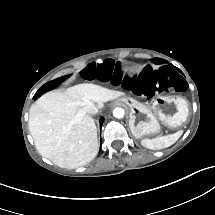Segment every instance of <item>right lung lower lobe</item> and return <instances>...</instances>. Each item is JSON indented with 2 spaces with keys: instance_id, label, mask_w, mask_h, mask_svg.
Returning <instances> with one entry per match:
<instances>
[{
  "instance_id": "1",
  "label": "right lung lower lobe",
  "mask_w": 215,
  "mask_h": 215,
  "mask_svg": "<svg viewBox=\"0 0 215 215\" xmlns=\"http://www.w3.org/2000/svg\"><path fill=\"white\" fill-rule=\"evenodd\" d=\"M102 123H103V119H101V121H100V125H102Z\"/></svg>"
}]
</instances>
